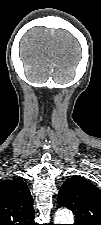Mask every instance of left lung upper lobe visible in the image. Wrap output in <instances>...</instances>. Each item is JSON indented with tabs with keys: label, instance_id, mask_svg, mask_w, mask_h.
<instances>
[{
	"label": "left lung upper lobe",
	"instance_id": "left-lung-upper-lobe-1",
	"mask_svg": "<svg viewBox=\"0 0 101 225\" xmlns=\"http://www.w3.org/2000/svg\"><path fill=\"white\" fill-rule=\"evenodd\" d=\"M58 204L75 215V225H101V191L83 177H71L62 185Z\"/></svg>",
	"mask_w": 101,
	"mask_h": 225
}]
</instances>
